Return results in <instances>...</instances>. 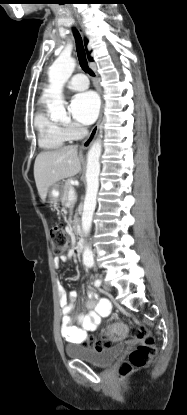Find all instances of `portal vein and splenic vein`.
<instances>
[{"instance_id": "portal-vein-and-splenic-vein-1", "label": "portal vein and splenic vein", "mask_w": 187, "mask_h": 415, "mask_svg": "<svg viewBox=\"0 0 187 415\" xmlns=\"http://www.w3.org/2000/svg\"><path fill=\"white\" fill-rule=\"evenodd\" d=\"M76 199H77V196H76L75 190L72 188L69 191V203L75 202Z\"/></svg>"}]
</instances>
